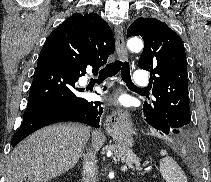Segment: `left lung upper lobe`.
I'll list each match as a JSON object with an SVG mask.
<instances>
[{
  "instance_id": "5c2ea615",
  "label": "left lung upper lobe",
  "mask_w": 211,
  "mask_h": 182,
  "mask_svg": "<svg viewBox=\"0 0 211 182\" xmlns=\"http://www.w3.org/2000/svg\"><path fill=\"white\" fill-rule=\"evenodd\" d=\"M127 35L140 36L145 43L138 66L150 71L154 96V100L143 105L146 122L159 131L168 125L187 132L191 115L187 61L181 38L166 23L151 17L135 20Z\"/></svg>"
}]
</instances>
